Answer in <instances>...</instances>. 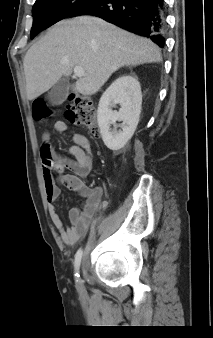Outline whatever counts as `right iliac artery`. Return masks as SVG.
I'll return each mask as SVG.
<instances>
[{"mask_svg": "<svg viewBox=\"0 0 213 338\" xmlns=\"http://www.w3.org/2000/svg\"><path fill=\"white\" fill-rule=\"evenodd\" d=\"M81 258H82V250L79 249L75 255V262H74V265H75V276L79 277V268H80V264H81Z\"/></svg>", "mask_w": 213, "mask_h": 338, "instance_id": "82829eb1", "label": "right iliac artery"}]
</instances>
